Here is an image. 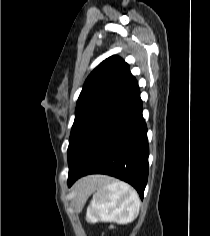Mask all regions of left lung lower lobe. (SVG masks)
<instances>
[{
    "instance_id": "obj_1",
    "label": "left lung lower lobe",
    "mask_w": 210,
    "mask_h": 236,
    "mask_svg": "<svg viewBox=\"0 0 210 236\" xmlns=\"http://www.w3.org/2000/svg\"><path fill=\"white\" fill-rule=\"evenodd\" d=\"M147 128L137 81L79 134L68 151V186L93 173L130 183L143 199L148 177Z\"/></svg>"
}]
</instances>
